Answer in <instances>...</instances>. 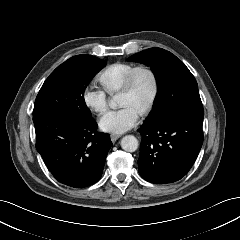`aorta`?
<instances>
[{
	"label": "aorta",
	"mask_w": 240,
	"mask_h": 240,
	"mask_svg": "<svg viewBox=\"0 0 240 240\" xmlns=\"http://www.w3.org/2000/svg\"><path fill=\"white\" fill-rule=\"evenodd\" d=\"M110 107L115 108L116 103L114 101L110 102ZM121 148L126 152H134L138 148V140L133 135H127L121 140Z\"/></svg>",
	"instance_id": "762f6f07"
}]
</instances>
